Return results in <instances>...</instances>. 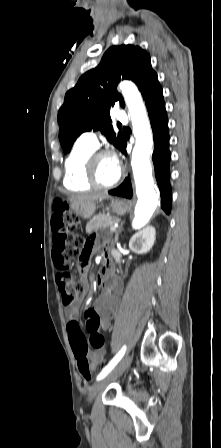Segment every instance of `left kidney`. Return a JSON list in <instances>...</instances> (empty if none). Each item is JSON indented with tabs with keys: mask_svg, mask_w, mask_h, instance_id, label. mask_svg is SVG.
<instances>
[{
	"mask_svg": "<svg viewBox=\"0 0 221 448\" xmlns=\"http://www.w3.org/2000/svg\"><path fill=\"white\" fill-rule=\"evenodd\" d=\"M156 230L150 226L132 236L129 248L138 254H145L150 251L155 242Z\"/></svg>",
	"mask_w": 221,
	"mask_h": 448,
	"instance_id": "obj_1",
	"label": "left kidney"
}]
</instances>
